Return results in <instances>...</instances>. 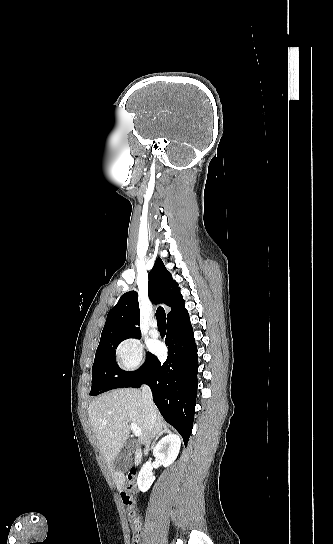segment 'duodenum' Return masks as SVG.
<instances>
[{"mask_svg":"<svg viewBox=\"0 0 333 544\" xmlns=\"http://www.w3.org/2000/svg\"><path fill=\"white\" fill-rule=\"evenodd\" d=\"M141 456H142V453L141 452H136V461L138 462L140 459H141Z\"/></svg>","mask_w":333,"mask_h":544,"instance_id":"1","label":"duodenum"}]
</instances>
